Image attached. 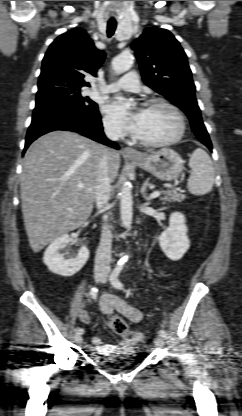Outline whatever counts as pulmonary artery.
I'll return each mask as SVG.
<instances>
[{
  "label": "pulmonary artery",
  "instance_id": "e3ab8cb5",
  "mask_svg": "<svg viewBox=\"0 0 242 416\" xmlns=\"http://www.w3.org/2000/svg\"><path fill=\"white\" fill-rule=\"evenodd\" d=\"M140 88H141V84H140L137 73L134 71H130L122 78L109 84L105 89L108 92H117V91L138 92Z\"/></svg>",
  "mask_w": 242,
  "mask_h": 416
}]
</instances>
